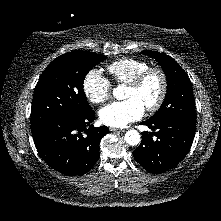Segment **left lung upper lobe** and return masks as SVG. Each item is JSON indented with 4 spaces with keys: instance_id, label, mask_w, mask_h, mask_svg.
Segmentation results:
<instances>
[{
    "instance_id": "5c2ea615",
    "label": "left lung upper lobe",
    "mask_w": 221,
    "mask_h": 221,
    "mask_svg": "<svg viewBox=\"0 0 221 221\" xmlns=\"http://www.w3.org/2000/svg\"><path fill=\"white\" fill-rule=\"evenodd\" d=\"M162 67L167 80V94L159 110L150 119L178 118L196 123L195 100L186 72L170 56L156 51H142Z\"/></svg>"
}]
</instances>
